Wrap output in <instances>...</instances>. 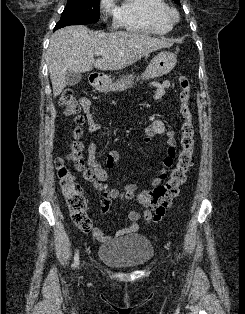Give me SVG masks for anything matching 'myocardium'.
Instances as JSON below:
<instances>
[{
    "mask_svg": "<svg viewBox=\"0 0 245 314\" xmlns=\"http://www.w3.org/2000/svg\"><path fill=\"white\" fill-rule=\"evenodd\" d=\"M163 15L170 22H176L179 19L178 11L174 7L168 5H165L163 9Z\"/></svg>",
    "mask_w": 245,
    "mask_h": 314,
    "instance_id": "1",
    "label": "myocardium"
}]
</instances>
